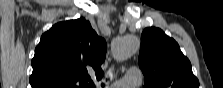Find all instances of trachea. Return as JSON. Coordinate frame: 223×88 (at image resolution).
Wrapping results in <instances>:
<instances>
[{
	"instance_id": "1",
	"label": "trachea",
	"mask_w": 223,
	"mask_h": 88,
	"mask_svg": "<svg viewBox=\"0 0 223 88\" xmlns=\"http://www.w3.org/2000/svg\"><path fill=\"white\" fill-rule=\"evenodd\" d=\"M90 87H91V88H94V84H93V83H91V84H90Z\"/></svg>"
}]
</instances>
